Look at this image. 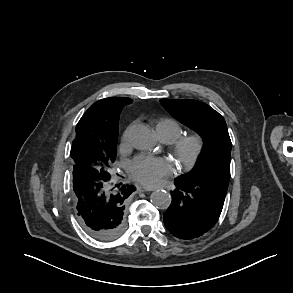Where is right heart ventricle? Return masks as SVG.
<instances>
[{
    "label": "right heart ventricle",
    "instance_id": "1",
    "mask_svg": "<svg viewBox=\"0 0 293 293\" xmlns=\"http://www.w3.org/2000/svg\"><path fill=\"white\" fill-rule=\"evenodd\" d=\"M156 130L160 139H165L168 143H172L183 133L181 125L171 118H162L158 120Z\"/></svg>",
    "mask_w": 293,
    "mask_h": 293
}]
</instances>
